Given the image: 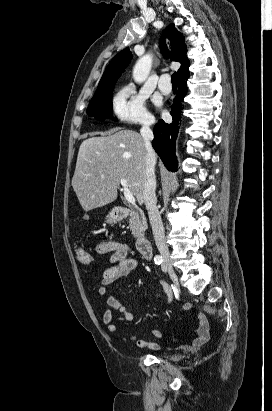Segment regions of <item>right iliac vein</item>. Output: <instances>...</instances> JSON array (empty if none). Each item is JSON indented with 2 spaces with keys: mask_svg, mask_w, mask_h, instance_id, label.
Here are the masks:
<instances>
[{
  "mask_svg": "<svg viewBox=\"0 0 272 411\" xmlns=\"http://www.w3.org/2000/svg\"><path fill=\"white\" fill-rule=\"evenodd\" d=\"M165 267H166L167 273L170 276L173 283L175 285H178V278H177V275H176L175 271L173 270V268L168 263H165Z\"/></svg>",
  "mask_w": 272,
  "mask_h": 411,
  "instance_id": "1",
  "label": "right iliac vein"
}]
</instances>
